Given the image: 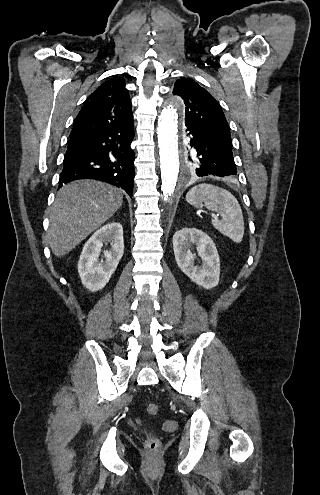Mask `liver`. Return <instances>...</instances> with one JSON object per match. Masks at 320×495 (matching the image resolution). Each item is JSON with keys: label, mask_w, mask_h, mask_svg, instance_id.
Returning a JSON list of instances; mask_svg holds the SVG:
<instances>
[{"label": "liver", "mask_w": 320, "mask_h": 495, "mask_svg": "<svg viewBox=\"0 0 320 495\" xmlns=\"http://www.w3.org/2000/svg\"><path fill=\"white\" fill-rule=\"evenodd\" d=\"M120 189L94 180H76L57 193L47 233L50 248L62 257L110 219L121 207Z\"/></svg>", "instance_id": "obj_1"}]
</instances>
